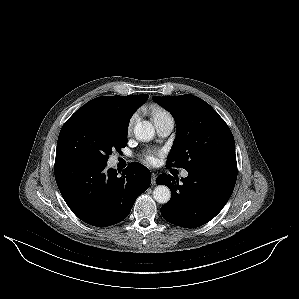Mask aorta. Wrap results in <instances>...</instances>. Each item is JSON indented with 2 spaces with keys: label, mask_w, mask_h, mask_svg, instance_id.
Listing matches in <instances>:
<instances>
[{
  "label": "aorta",
  "mask_w": 299,
  "mask_h": 299,
  "mask_svg": "<svg viewBox=\"0 0 299 299\" xmlns=\"http://www.w3.org/2000/svg\"><path fill=\"white\" fill-rule=\"evenodd\" d=\"M134 134L138 140L150 141L155 134V128L151 122L141 121L134 126ZM153 197L158 203L165 204L171 198V191L165 185H158L153 191Z\"/></svg>",
  "instance_id": "762f6f07"
}]
</instances>
